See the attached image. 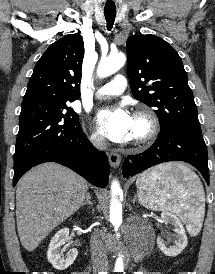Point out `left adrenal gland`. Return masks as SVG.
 <instances>
[{"instance_id":"left-adrenal-gland-1","label":"left adrenal gland","mask_w":215,"mask_h":274,"mask_svg":"<svg viewBox=\"0 0 215 274\" xmlns=\"http://www.w3.org/2000/svg\"><path fill=\"white\" fill-rule=\"evenodd\" d=\"M135 201H137L136 195H135V197H134V199H133V202H135Z\"/></svg>"}]
</instances>
